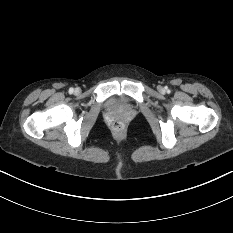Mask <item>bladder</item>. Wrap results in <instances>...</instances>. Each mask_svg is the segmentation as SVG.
I'll use <instances>...</instances> for the list:
<instances>
[{"mask_svg":"<svg viewBox=\"0 0 233 233\" xmlns=\"http://www.w3.org/2000/svg\"><path fill=\"white\" fill-rule=\"evenodd\" d=\"M109 106L114 109H125L128 107V103L123 97H113L109 100Z\"/></svg>","mask_w":233,"mask_h":233,"instance_id":"31cf9c89","label":"bladder"}]
</instances>
